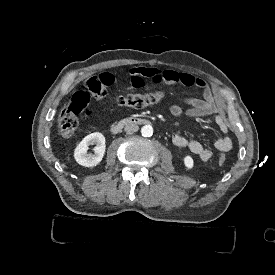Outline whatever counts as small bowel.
Listing matches in <instances>:
<instances>
[{
    "label": "small bowel",
    "instance_id": "1",
    "mask_svg": "<svg viewBox=\"0 0 275 275\" xmlns=\"http://www.w3.org/2000/svg\"><path fill=\"white\" fill-rule=\"evenodd\" d=\"M130 85L139 88L148 82L159 84H181L187 87H197L202 90V98H186L181 103L173 104L170 113L174 117L186 115L189 118H201L209 115L216 116V123L224 133L229 131L225 119V106L215 97L212 88L202 80L195 79L192 75L175 70H160L157 68L135 67L131 70ZM101 81L105 86L116 87L118 80L111 72H103ZM184 105L188 109L184 111ZM172 142L179 148H186L195 154L201 161L211 160L217 151L226 152L232 149L233 142L229 136L218 137L213 148L207 147L198 140L187 139L175 134Z\"/></svg>",
    "mask_w": 275,
    "mask_h": 275
}]
</instances>
